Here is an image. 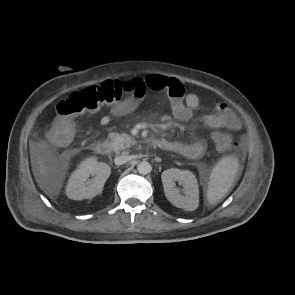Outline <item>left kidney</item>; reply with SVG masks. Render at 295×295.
Segmentation results:
<instances>
[{
    "mask_svg": "<svg viewBox=\"0 0 295 295\" xmlns=\"http://www.w3.org/2000/svg\"><path fill=\"white\" fill-rule=\"evenodd\" d=\"M164 193L167 200L186 211L196 210L199 206V187L195 175L189 170L171 168L161 175ZM183 186L184 195L180 194L175 182Z\"/></svg>",
    "mask_w": 295,
    "mask_h": 295,
    "instance_id": "obj_1",
    "label": "left kidney"
}]
</instances>
